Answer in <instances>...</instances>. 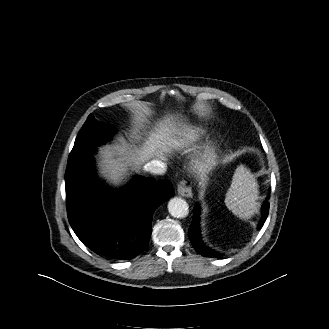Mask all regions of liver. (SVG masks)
<instances>
[{"mask_svg": "<svg viewBox=\"0 0 329 329\" xmlns=\"http://www.w3.org/2000/svg\"><path fill=\"white\" fill-rule=\"evenodd\" d=\"M141 120V119H140ZM172 117L160 121L154 131L148 135L140 149L131 150L126 144L114 148H104L100 151V174L114 185L122 183L127 175L128 166L138 169L141 164L153 157L165 160V154L179 145L175 134H180Z\"/></svg>", "mask_w": 329, "mask_h": 329, "instance_id": "6515ba94", "label": "liver"}]
</instances>
